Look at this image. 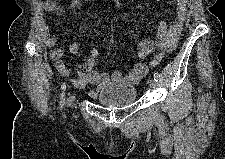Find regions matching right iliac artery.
Wrapping results in <instances>:
<instances>
[{"mask_svg":"<svg viewBox=\"0 0 225 159\" xmlns=\"http://www.w3.org/2000/svg\"><path fill=\"white\" fill-rule=\"evenodd\" d=\"M64 100H65V93L63 92V93L61 94V101H60V106H61V108H62L63 105H64Z\"/></svg>","mask_w":225,"mask_h":159,"instance_id":"1","label":"right iliac artery"}]
</instances>
